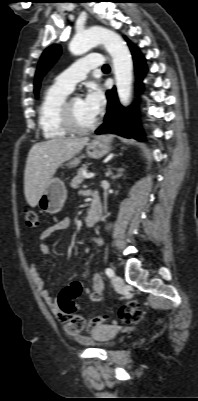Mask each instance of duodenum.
<instances>
[{
	"label": "duodenum",
	"mask_w": 198,
	"mask_h": 401,
	"mask_svg": "<svg viewBox=\"0 0 198 401\" xmlns=\"http://www.w3.org/2000/svg\"><path fill=\"white\" fill-rule=\"evenodd\" d=\"M91 201L90 213L86 218V225L88 227H94L102 216V203L100 198L96 194H92Z\"/></svg>",
	"instance_id": "duodenum-1"
}]
</instances>
